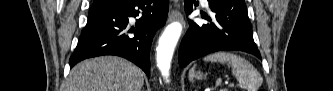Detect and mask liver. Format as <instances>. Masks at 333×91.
Wrapping results in <instances>:
<instances>
[{"label": "liver", "instance_id": "liver-1", "mask_svg": "<svg viewBox=\"0 0 333 91\" xmlns=\"http://www.w3.org/2000/svg\"><path fill=\"white\" fill-rule=\"evenodd\" d=\"M143 84L140 68L123 58L104 56L77 64L64 91H141Z\"/></svg>", "mask_w": 333, "mask_h": 91}]
</instances>
